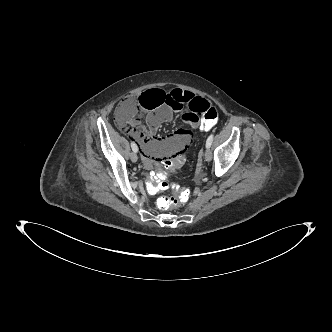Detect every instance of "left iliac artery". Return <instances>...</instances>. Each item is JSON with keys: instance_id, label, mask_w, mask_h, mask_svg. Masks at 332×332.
I'll list each match as a JSON object with an SVG mask.
<instances>
[{"instance_id": "left-iliac-artery-1", "label": "left iliac artery", "mask_w": 332, "mask_h": 332, "mask_svg": "<svg viewBox=\"0 0 332 332\" xmlns=\"http://www.w3.org/2000/svg\"><path fill=\"white\" fill-rule=\"evenodd\" d=\"M213 138H214V135L211 134L208 138H207V141H206V148H210L211 144H212V141H213Z\"/></svg>"}]
</instances>
